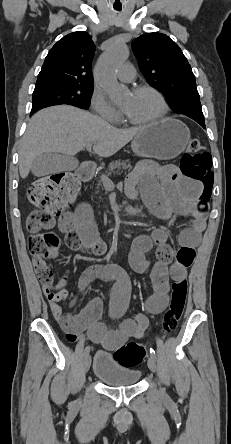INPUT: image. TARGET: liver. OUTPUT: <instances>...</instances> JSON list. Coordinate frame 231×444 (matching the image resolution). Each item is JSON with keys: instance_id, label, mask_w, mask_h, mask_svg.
I'll return each mask as SVG.
<instances>
[{"instance_id": "liver-1", "label": "liver", "mask_w": 231, "mask_h": 444, "mask_svg": "<svg viewBox=\"0 0 231 444\" xmlns=\"http://www.w3.org/2000/svg\"><path fill=\"white\" fill-rule=\"evenodd\" d=\"M145 127L118 129L98 116L69 105L42 109L32 116L20 142V176L26 178L34 159L43 153H61L71 158L87 144H94L96 154L110 157Z\"/></svg>"}]
</instances>
